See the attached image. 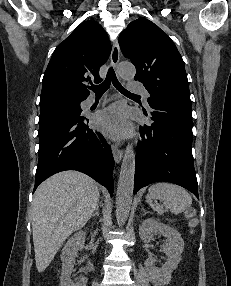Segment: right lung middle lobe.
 <instances>
[{
	"label": "right lung middle lobe",
	"mask_w": 231,
	"mask_h": 286,
	"mask_svg": "<svg viewBox=\"0 0 231 286\" xmlns=\"http://www.w3.org/2000/svg\"><path fill=\"white\" fill-rule=\"evenodd\" d=\"M82 101L63 102L40 108L39 126H43L54 121L68 118L80 117Z\"/></svg>",
	"instance_id": "obj_1"
}]
</instances>
